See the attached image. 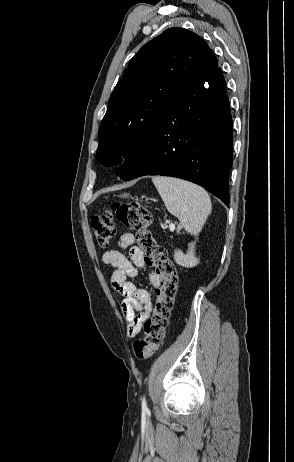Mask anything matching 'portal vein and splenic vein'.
<instances>
[{
    "label": "portal vein and splenic vein",
    "instance_id": "18ae733b",
    "mask_svg": "<svg viewBox=\"0 0 294 462\" xmlns=\"http://www.w3.org/2000/svg\"><path fill=\"white\" fill-rule=\"evenodd\" d=\"M170 227H174V225H173V224H171V225H170Z\"/></svg>",
    "mask_w": 294,
    "mask_h": 462
}]
</instances>
